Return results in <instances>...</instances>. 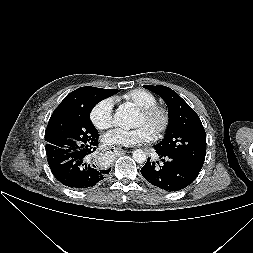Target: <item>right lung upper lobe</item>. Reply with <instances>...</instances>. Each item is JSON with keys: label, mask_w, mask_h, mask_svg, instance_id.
<instances>
[{"label": "right lung upper lobe", "mask_w": 253, "mask_h": 253, "mask_svg": "<svg viewBox=\"0 0 253 253\" xmlns=\"http://www.w3.org/2000/svg\"><path fill=\"white\" fill-rule=\"evenodd\" d=\"M72 93V92H71ZM71 96V94H68L65 98H64V100L61 102V104L55 109V110H60V109H62L64 106H65V104H66V102H67V100H68V98Z\"/></svg>", "instance_id": "right-lung-upper-lobe-1"}]
</instances>
